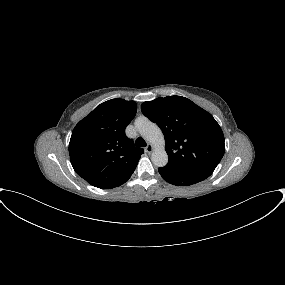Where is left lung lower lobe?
<instances>
[{"label":"left lung lower lobe","mask_w":285,"mask_h":285,"mask_svg":"<svg viewBox=\"0 0 285 285\" xmlns=\"http://www.w3.org/2000/svg\"><path fill=\"white\" fill-rule=\"evenodd\" d=\"M160 175L165 181L170 184L178 186H188L205 180L209 176L192 172H178L165 169L164 167L158 169Z\"/></svg>","instance_id":"1"}]
</instances>
